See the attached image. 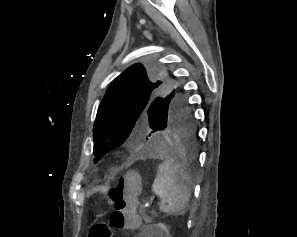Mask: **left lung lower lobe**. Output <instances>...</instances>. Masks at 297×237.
I'll return each mask as SVG.
<instances>
[{
    "label": "left lung lower lobe",
    "mask_w": 297,
    "mask_h": 237,
    "mask_svg": "<svg viewBox=\"0 0 297 237\" xmlns=\"http://www.w3.org/2000/svg\"><path fill=\"white\" fill-rule=\"evenodd\" d=\"M157 131L145 145L140 157L167 156L178 160L186 168L194 169L198 155V135L189 104L176 105Z\"/></svg>",
    "instance_id": "1"
}]
</instances>
